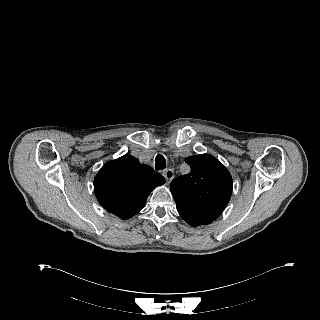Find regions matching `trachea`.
Here are the masks:
<instances>
[{
  "mask_svg": "<svg viewBox=\"0 0 320 320\" xmlns=\"http://www.w3.org/2000/svg\"><path fill=\"white\" fill-rule=\"evenodd\" d=\"M155 168L156 170H163L166 168V160L161 154H158L155 158Z\"/></svg>",
  "mask_w": 320,
  "mask_h": 320,
  "instance_id": "1",
  "label": "trachea"
}]
</instances>
